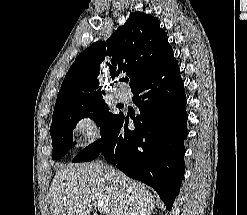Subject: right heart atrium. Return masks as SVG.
<instances>
[{"label":"right heart atrium","mask_w":247,"mask_h":215,"mask_svg":"<svg viewBox=\"0 0 247 215\" xmlns=\"http://www.w3.org/2000/svg\"><path fill=\"white\" fill-rule=\"evenodd\" d=\"M72 132L78 138L79 145L82 147L96 142L102 132L98 114L92 109L82 111L73 123Z\"/></svg>","instance_id":"obj_1"}]
</instances>
